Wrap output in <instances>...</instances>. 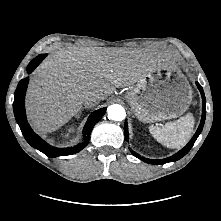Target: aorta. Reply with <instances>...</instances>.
<instances>
[{
    "label": "aorta",
    "instance_id": "762f6f07",
    "mask_svg": "<svg viewBox=\"0 0 221 221\" xmlns=\"http://www.w3.org/2000/svg\"><path fill=\"white\" fill-rule=\"evenodd\" d=\"M108 118L114 121H122L126 116L125 109L122 105L113 104L108 107Z\"/></svg>",
    "mask_w": 221,
    "mask_h": 221
}]
</instances>
